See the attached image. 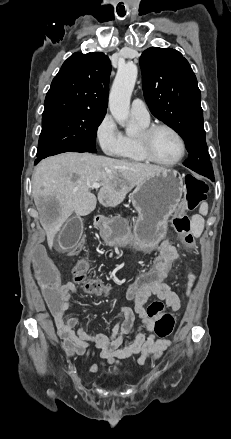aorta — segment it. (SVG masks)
Masks as SVG:
<instances>
[{
	"label": "aorta",
	"mask_w": 231,
	"mask_h": 439,
	"mask_svg": "<svg viewBox=\"0 0 231 439\" xmlns=\"http://www.w3.org/2000/svg\"><path fill=\"white\" fill-rule=\"evenodd\" d=\"M138 68L134 63L118 67L109 95V108L114 119L125 126L129 117L130 99L137 79ZM126 132L133 131L132 125H126Z\"/></svg>",
	"instance_id": "aorta-1"
}]
</instances>
